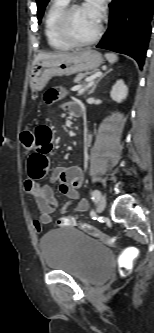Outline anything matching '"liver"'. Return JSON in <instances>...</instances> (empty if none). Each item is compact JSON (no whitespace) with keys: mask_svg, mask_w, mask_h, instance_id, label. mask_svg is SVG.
<instances>
[{"mask_svg":"<svg viewBox=\"0 0 154 333\" xmlns=\"http://www.w3.org/2000/svg\"><path fill=\"white\" fill-rule=\"evenodd\" d=\"M72 54L74 53H39L33 61V66L42 60L58 59Z\"/></svg>","mask_w":154,"mask_h":333,"instance_id":"liver-1","label":"liver"}]
</instances>
